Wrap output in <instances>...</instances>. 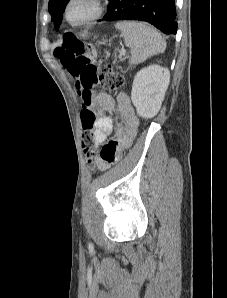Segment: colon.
Returning a JSON list of instances; mask_svg holds the SVG:
<instances>
[{
  "label": "colon",
  "mask_w": 227,
  "mask_h": 298,
  "mask_svg": "<svg viewBox=\"0 0 227 298\" xmlns=\"http://www.w3.org/2000/svg\"><path fill=\"white\" fill-rule=\"evenodd\" d=\"M54 54L69 76L75 80V88L83 99V111L81 113L84 129L82 147L89 162H91L94 155L92 129L100 117L93 111V89L99 84L106 90L115 91L123 86L124 79L108 65L97 66L93 64L94 50L92 45L78 39L73 34H66L63 37Z\"/></svg>",
  "instance_id": "5ec220e1"
}]
</instances>
